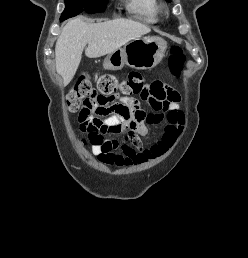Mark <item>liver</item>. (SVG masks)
Here are the masks:
<instances>
[{"instance_id": "liver-1", "label": "liver", "mask_w": 248, "mask_h": 258, "mask_svg": "<svg viewBox=\"0 0 248 258\" xmlns=\"http://www.w3.org/2000/svg\"><path fill=\"white\" fill-rule=\"evenodd\" d=\"M151 29L129 19H114L103 23L89 24L80 18L70 20L56 42V70L66 86L74 77L81 62L82 52L88 58L111 54L129 41L140 38Z\"/></svg>"}]
</instances>
